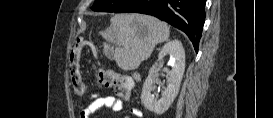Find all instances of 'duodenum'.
I'll return each mask as SVG.
<instances>
[{"label":"duodenum","mask_w":273,"mask_h":118,"mask_svg":"<svg viewBox=\"0 0 273 118\" xmlns=\"http://www.w3.org/2000/svg\"><path fill=\"white\" fill-rule=\"evenodd\" d=\"M134 79L138 80L139 76L137 74L133 75Z\"/></svg>","instance_id":"410a0bca"}]
</instances>
